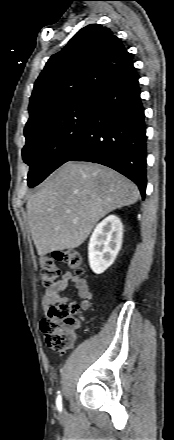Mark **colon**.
<instances>
[{
    "mask_svg": "<svg viewBox=\"0 0 174 440\" xmlns=\"http://www.w3.org/2000/svg\"><path fill=\"white\" fill-rule=\"evenodd\" d=\"M64 262L77 274L84 272L81 255L76 250H57L40 258V276L44 286L57 281L59 271L56 262ZM76 303L51 307L47 316L41 321V331L46 345L56 351L69 349L75 341L77 327L74 315L78 312Z\"/></svg>",
    "mask_w": 174,
    "mask_h": 440,
    "instance_id": "1",
    "label": "colon"
}]
</instances>
